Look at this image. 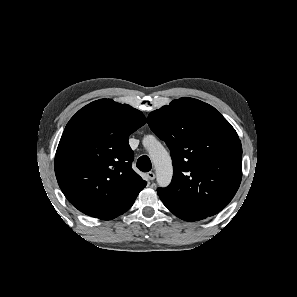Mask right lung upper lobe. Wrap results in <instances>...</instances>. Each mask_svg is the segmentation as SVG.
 Segmentation results:
<instances>
[{
	"label": "right lung upper lobe",
	"instance_id": "right-lung-upper-lobe-1",
	"mask_svg": "<svg viewBox=\"0 0 297 297\" xmlns=\"http://www.w3.org/2000/svg\"><path fill=\"white\" fill-rule=\"evenodd\" d=\"M146 123L141 111L110 99L80 109L68 122L55 155L58 184L78 210L116 218L146 186L132 169L128 137Z\"/></svg>",
	"mask_w": 297,
	"mask_h": 297
}]
</instances>
